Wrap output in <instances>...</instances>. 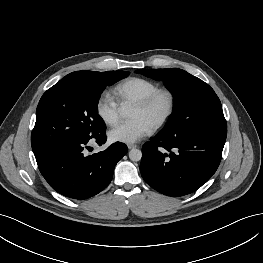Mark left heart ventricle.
Listing matches in <instances>:
<instances>
[{
    "instance_id": "1",
    "label": "left heart ventricle",
    "mask_w": 263,
    "mask_h": 263,
    "mask_svg": "<svg viewBox=\"0 0 263 263\" xmlns=\"http://www.w3.org/2000/svg\"><path fill=\"white\" fill-rule=\"evenodd\" d=\"M168 107V100L165 96L160 97L154 105L147 109L142 110L137 107H133L130 117L132 119H142L148 124L153 126V124L166 112Z\"/></svg>"
}]
</instances>
